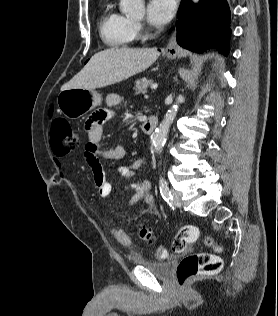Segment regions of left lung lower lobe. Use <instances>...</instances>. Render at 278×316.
Listing matches in <instances>:
<instances>
[{"label":"left lung lower lobe","mask_w":278,"mask_h":316,"mask_svg":"<svg viewBox=\"0 0 278 316\" xmlns=\"http://www.w3.org/2000/svg\"><path fill=\"white\" fill-rule=\"evenodd\" d=\"M177 43L194 52L216 48L228 54L231 30L230 9L226 0H182L178 10Z\"/></svg>","instance_id":"1"}]
</instances>
